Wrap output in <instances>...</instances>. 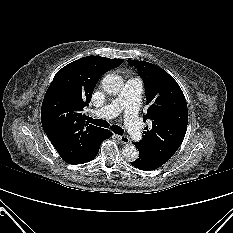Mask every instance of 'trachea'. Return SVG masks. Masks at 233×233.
<instances>
[{"label": "trachea", "mask_w": 233, "mask_h": 233, "mask_svg": "<svg viewBox=\"0 0 233 233\" xmlns=\"http://www.w3.org/2000/svg\"><path fill=\"white\" fill-rule=\"evenodd\" d=\"M87 121L89 123H92L94 125L100 126V127H105V128H109V123L106 120H102V119H93L91 117H86ZM111 130L118 134V135H123L124 130L119 127L118 125H112L110 126Z\"/></svg>", "instance_id": "trachea-1"}]
</instances>
